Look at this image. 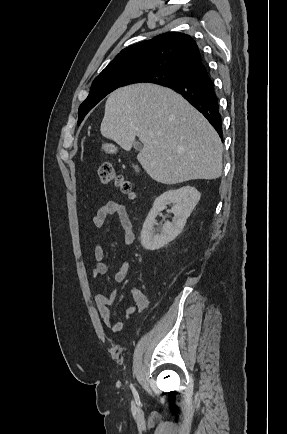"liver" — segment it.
<instances>
[{"instance_id":"6515ba94","label":"liver","mask_w":287,"mask_h":434,"mask_svg":"<svg viewBox=\"0 0 287 434\" xmlns=\"http://www.w3.org/2000/svg\"><path fill=\"white\" fill-rule=\"evenodd\" d=\"M101 134L130 150L137 136V160L155 181L177 184L219 178L223 145L207 119L181 95L152 84L122 87L105 105Z\"/></svg>"}]
</instances>
